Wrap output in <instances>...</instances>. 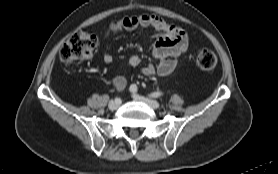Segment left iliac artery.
Returning a JSON list of instances; mask_svg holds the SVG:
<instances>
[{
    "label": "left iliac artery",
    "mask_w": 278,
    "mask_h": 174,
    "mask_svg": "<svg viewBox=\"0 0 278 174\" xmlns=\"http://www.w3.org/2000/svg\"><path fill=\"white\" fill-rule=\"evenodd\" d=\"M130 90H131L133 93H136V92L138 91L137 85L132 84V85L130 86ZM148 96H149V97H152V98H157V97L162 96V92H160V91L152 92V93L149 94Z\"/></svg>",
    "instance_id": "obj_1"
}]
</instances>
